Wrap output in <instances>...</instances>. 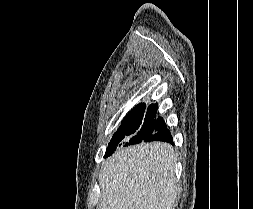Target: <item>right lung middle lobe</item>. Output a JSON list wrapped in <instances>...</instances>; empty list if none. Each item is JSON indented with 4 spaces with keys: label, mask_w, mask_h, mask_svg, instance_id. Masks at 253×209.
Returning <instances> with one entry per match:
<instances>
[{
    "label": "right lung middle lobe",
    "mask_w": 253,
    "mask_h": 209,
    "mask_svg": "<svg viewBox=\"0 0 253 209\" xmlns=\"http://www.w3.org/2000/svg\"><path fill=\"white\" fill-rule=\"evenodd\" d=\"M157 122L156 109H149L126 116L108 144L105 157L110 156L118 146L134 145L143 141L142 136L152 130Z\"/></svg>",
    "instance_id": "1"
}]
</instances>
